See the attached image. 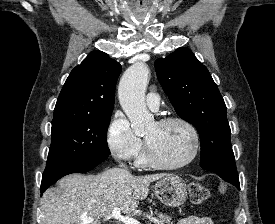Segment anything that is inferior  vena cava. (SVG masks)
<instances>
[{"label": "inferior vena cava", "mask_w": 275, "mask_h": 224, "mask_svg": "<svg viewBox=\"0 0 275 224\" xmlns=\"http://www.w3.org/2000/svg\"><path fill=\"white\" fill-rule=\"evenodd\" d=\"M121 167H124V165L122 164V165H120ZM125 172L127 173V174H130L129 173V171H127V170H125Z\"/></svg>", "instance_id": "obj_1"}]
</instances>
